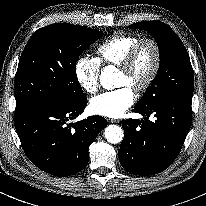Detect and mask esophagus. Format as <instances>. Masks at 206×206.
Segmentation results:
<instances>
[{
    "label": "esophagus",
    "mask_w": 206,
    "mask_h": 206,
    "mask_svg": "<svg viewBox=\"0 0 206 206\" xmlns=\"http://www.w3.org/2000/svg\"><path fill=\"white\" fill-rule=\"evenodd\" d=\"M110 123H119L120 121L118 119H108Z\"/></svg>",
    "instance_id": "esophagus-1"
}]
</instances>
